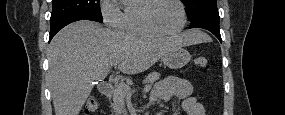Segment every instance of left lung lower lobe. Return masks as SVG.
Here are the masks:
<instances>
[{"mask_svg":"<svg viewBox=\"0 0 285 115\" xmlns=\"http://www.w3.org/2000/svg\"><path fill=\"white\" fill-rule=\"evenodd\" d=\"M189 28H204L212 32L221 42L219 30V13L217 8L208 9L197 14L190 20Z\"/></svg>","mask_w":285,"mask_h":115,"instance_id":"0a47b994","label":"left lung lower lobe"}]
</instances>
